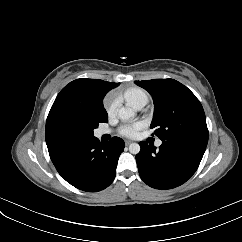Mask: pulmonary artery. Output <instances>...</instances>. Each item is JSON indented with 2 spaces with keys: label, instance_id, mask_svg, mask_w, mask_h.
Here are the masks:
<instances>
[{
  "label": "pulmonary artery",
  "instance_id": "1",
  "mask_svg": "<svg viewBox=\"0 0 242 242\" xmlns=\"http://www.w3.org/2000/svg\"><path fill=\"white\" fill-rule=\"evenodd\" d=\"M146 103H147V99H143L140 102H138L135 107L138 110H141L146 105ZM108 132H109L108 130H101V131H99V135H104V134H107ZM155 144H156L157 147H159V146H161L162 141L161 140H157Z\"/></svg>",
  "mask_w": 242,
  "mask_h": 242
}]
</instances>
